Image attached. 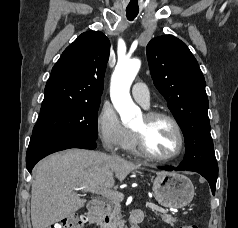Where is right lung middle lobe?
Instances as JSON below:
<instances>
[{
    "label": "right lung middle lobe",
    "mask_w": 238,
    "mask_h": 228,
    "mask_svg": "<svg viewBox=\"0 0 238 228\" xmlns=\"http://www.w3.org/2000/svg\"><path fill=\"white\" fill-rule=\"evenodd\" d=\"M99 105L100 103L77 104L39 115L32 136L78 135L96 140Z\"/></svg>",
    "instance_id": "right-lung-middle-lobe-1"
}]
</instances>
